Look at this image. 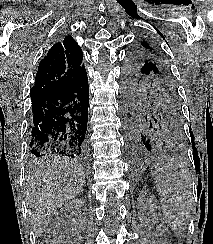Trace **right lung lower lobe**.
<instances>
[{"label": "right lung lower lobe", "mask_w": 213, "mask_h": 244, "mask_svg": "<svg viewBox=\"0 0 213 244\" xmlns=\"http://www.w3.org/2000/svg\"><path fill=\"white\" fill-rule=\"evenodd\" d=\"M33 157H82L87 151L89 85L86 70L66 88L31 96Z\"/></svg>", "instance_id": "1"}]
</instances>
